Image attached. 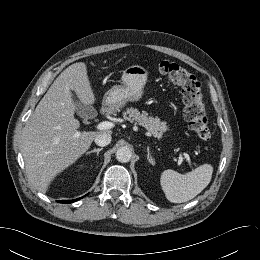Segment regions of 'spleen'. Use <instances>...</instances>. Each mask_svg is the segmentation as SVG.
Segmentation results:
<instances>
[{
	"label": "spleen",
	"instance_id": "spleen-1",
	"mask_svg": "<svg viewBox=\"0 0 260 260\" xmlns=\"http://www.w3.org/2000/svg\"><path fill=\"white\" fill-rule=\"evenodd\" d=\"M211 164H203L186 174L168 169L162 172L160 182L166 198L172 203L187 202L201 193L210 183Z\"/></svg>",
	"mask_w": 260,
	"mask_h": 260
}]
</instances>
